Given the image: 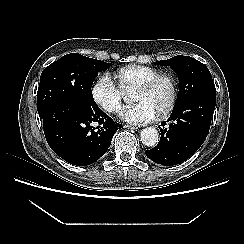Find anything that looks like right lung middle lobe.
Returning <instances> with one entry per match:
<instances>
[{"instance_id":"obj_1","label":"right lung middle lobe","mask_w":244,"mask_h":244,"mask_svg":"<svg viewBox=\"0 0 244 244\" xmlns=\"http://www.w3.org/2000/svg\"><path fill=\"white\" fill-rule=\"evenodd\" d=\"M111 65L78 53L65 55L55 61L43 70L40 77L37 93L38 113L64 101L97 105L93 100L91 86L98 72Z\"/></svg>"}]
</instances>
